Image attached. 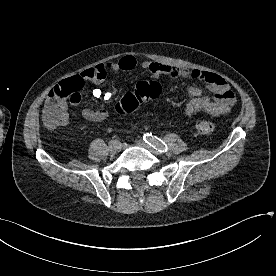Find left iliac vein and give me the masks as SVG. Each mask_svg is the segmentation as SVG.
Here are the masks:
<instances>
[{
  "label": "left iliac vein",
  "mask_w": 276,
  "mask_h": 276,
  "mask_svg": "<svg viewBox=\"0 0 276 276\" xmlns=\"http://www.w3.org/2000/svg\"><path fill=\"white\" fill-rule=\"evenodd\" d=\"M136 144H137L138 146L142 147V148H145V149L149 150V151H150L151 153H153L154 155H157V156H158V155L161 154L158 150H156V149L153 148L151 145L145 143V142L142 141V140H138V141L136 142Z\"/></svg>",
  "instance_id": "left-iliac-vein-1"
}]
</instances>
